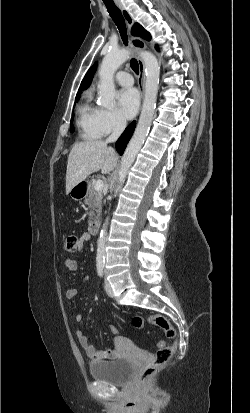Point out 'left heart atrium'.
<instances>
[{"instance_id": "obj_1", "label": "left heart atrium", "mask_w": 250, "mask_h": 413, "mask_svg": "<svg viewBox=\"0 0 250 413\" xmlns=\"http://www.w3.org/2000/svg\"><path fill=\"white\" fill-rule=\"evenodd\" d=\"M119 105L126 118H133L139 109V95L135 89H124L119 93Z\"/></svg>"}]
</instances>
